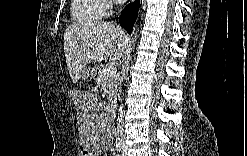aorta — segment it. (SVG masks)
Masks as SVG:
<instances>
[{
    "label": "aorta",
    "instance_id": "obj_1",
    "mask_svg": "<svg viewBox=\"0 0 247 156\" xmlns=\"http://www.w3.org/2000/svg\"><path fill=\"white\" fill-rule=\"evenodd\" d=\"M138 36V29H137V25L134 28V32H133V40L136 41Z\"/></svg>",
    "mask_w": 247,
    "mask_h": 156
}]
</instances>
